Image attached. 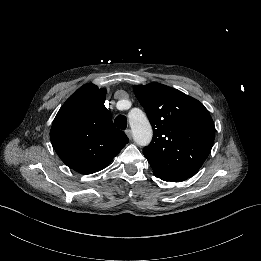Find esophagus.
Instances as JSON below:
<instances>
[{"mask_svg":"<svg viewBox=\"0 0 261 261\" xmlns=\"http://www.w3.org/2000/svg\"><path fill=\"white\" fill-rule=\"evenodd\" d=\"M125 133H126L128 139L131 140L132 139V132H131V130L130 129L125 130Z\"/></svg>","mask_w":261,"mask_h":261,"instance_id":"34e87169","label":"esophagus"}]
</instances>
